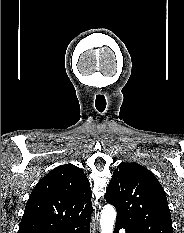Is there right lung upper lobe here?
<instances>
[{
  "instance_id": "1",
  "label": "right lung upper lobe",
  "mask_w": 184,
  "mask_h": 233,
  "mask_svg": "<svg viewBox=\"0 0 184 233\" xmlns=\"http://www.w3.org/2000/svg\"><path fill=\"white\" fill-rule=\"evenodd\" d=\"M91 197L84 172L73 164L60 165L36 184L18 233H46L79 223L93 211Z\"/></svg>"
}]
</instances>
